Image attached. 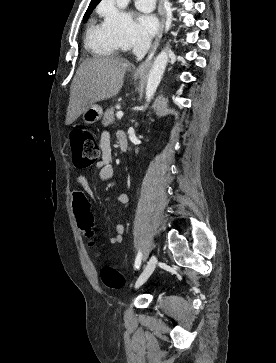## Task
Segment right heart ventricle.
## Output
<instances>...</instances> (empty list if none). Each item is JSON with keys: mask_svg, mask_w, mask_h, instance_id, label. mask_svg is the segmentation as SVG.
Here are the masks:
<instances>
[{"mask_svg": "<svg viewBox=\"0 0 276 363\" xmlns=\"http://www.w3.org/2000/svg\"><path fill=\"white\" fill-rule=\"evenodd\" d=\"M86 47L94 55L111 56L120 49L118 42L113 38L104 23L99 24L92 20L86 33Z\"/></svg>", "mask_w": 276, "mask_h": 363, "instance_id": "1", "label": "right heart ventricle"}]
</instances>
